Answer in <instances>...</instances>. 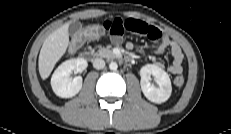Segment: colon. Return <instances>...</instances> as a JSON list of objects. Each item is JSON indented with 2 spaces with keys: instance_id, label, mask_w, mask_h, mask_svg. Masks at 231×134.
Wrapping results in <instances>:
<instances>
[{
  "instance_id": "colon-1",
  "label": "colon",
  "mask_w": 231,
  "mask_h": 134,
  "mask_svg": "<svg viewBox=\"0 0 231 134\" xmlns=\"http://www.w3.org/2000/svg\"><path fill=\"white\" fill-rule=\"evenodd\" d=\"M106 34V30L102 25H90L80 30L77 35L71 40L69 49L76 51L84 41L88 39H96ZM174 84L178 87L184 84V78L177 76L174 79Z\"/></svg>"
}]
</instances>
